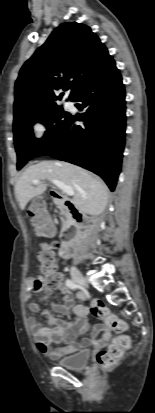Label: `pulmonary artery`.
I'll list each match as a JSON object with an SVG mask.
<instances>
[{"label":"pulmonary artery","mask_w":155,"mask_h":413,"mask_svg":"<svg viewBox=\"0 0 155 413\" xmlns=\"http://www.w3.org/2000/svg\"><path fill=\"white\" fill-rule=\"evenodd\" d=\"M65 105H66V107H68V108H72V107H73L72 102L69 101V100H66V101H65Z\"/></svg>","instance_id":"pulmonary-artery-1"}]
</instances>
